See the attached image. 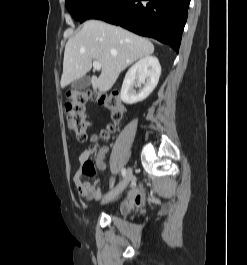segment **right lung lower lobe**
Wrapping results in <instances>:
<instances>
[{
    "instance_id": "98d812e1",
    "label": "right lung lower lobe",
    "mask_w": 247,
    "mask_h": 265,
    "mask_svg": "<svg viewBox=\"0 0 247 265\" xmlns=\"http://www.w3.org/2000/svg\"><path fill=\"white\" fill-rule=\"evenodd\" d=\"M190 0H99L80 19H100L169 44L177 53Z\"/></svg>"
}]
</instances>
